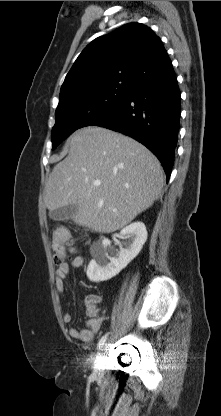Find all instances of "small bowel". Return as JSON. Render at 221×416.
Returning a JSON list of instances; mask_svg holds the SVG:
<instances>
[{"mask_svg": "<svg viewBox=\"0 0 221 416\" xmlns=\"http://www.w3.org/2000/svg\"><path fill=\"white\" fill-rule=\"evenodd\" d=\"M84 264V258L80 255L75 256L70 262L63 261L58 264L55 271V286L63 296L65 291V279L71 269L81 268ZM98 297H91L86 300V314L88 320L86 326L82 329L70 327L68 332L71 338L80 340L84 343H91L94 336L98 333L104 317L100 315L99 309L96 306ZM62 320L65 324H70L72 315L69 312H64Z\"/></svg>", "mask_w": 221, "mask_h": 416, "instance_id": "c3829d8e", "label": "small bowel"}]
</instances>
